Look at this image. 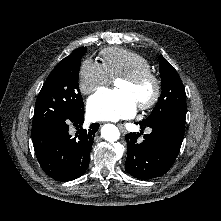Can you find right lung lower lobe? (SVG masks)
<instances>
[{
    "label": "right lung lower lobe",
    "mask_w": 221,
    "mask_h": 221,
    "mask_svg": "<svg viewBox=\"0 0 221 221\" xmlns=\"http://www.w3.org/2000/svg\"><path fill=\"white\" fill-rule=\"evenodd\" d=\"M84 112L52 122L32 135L37 160L44 172L57 181H71L80 177L89 165L91 147L98 123L89 129L80 128L75 137L69 134V125L80 127Z\"/></svg>",
    "instance_id": "obj_1"
}]
</instances>
